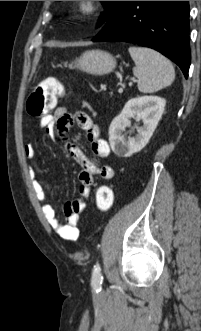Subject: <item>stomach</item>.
Instances as JSON below:
<instances>
[{
  "instance_id": "1",
  "label": "stomach",
  "mask_w": 201,
  "mask_h": 331,
  "mask_svg": "<svg viewBox=\"0 0 201 331\" xmlns=\"http://www.w3.org/2000/svg\"><path fill=\"white\" fill-rule=\"evenodd\" d=\"M71 66L89 74L104 75L115 69L116 59L108 52L89 50L77 58Z\"/></svg>"
}]
</instances>
